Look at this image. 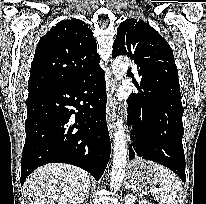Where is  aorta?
<instances>
[{
  "instance_id": "1",
  "label": "aorta",
  "mask_w": 206,
  "mask_h": 204,
  "mask_svg": "<svg viewBox=\"0 0 206 204\" xmlns=\"http://www.w3.org/2000/svg\"><path fill=\"white\" fill-rule=\"evenodd\" d=\"M129 59L125 56L117 57L112 64V72L117 81H121L129 68ZM114 133L113 164L110 174V188L118 190L124 180L127 164V140L122 118L118 119Z\"/></svg>"
}]
</instances>
